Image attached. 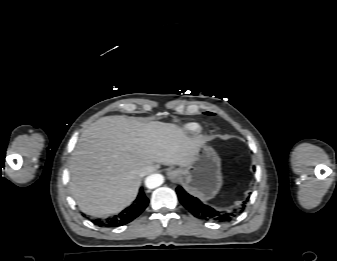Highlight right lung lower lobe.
<instances>
[{"mask_svg": "<svg viewBox=\"0 0 337 261\" xmlns=\"http://www.w3.org/2000/svg\"><path fill=\"white\" fill-rule=\"evenodd\" d=\"M148 198L145 196L143 189L141 188L138 194L137 199L125 210H123L118 215H115L111 218H107L105 220L101 219H93L92 222L99 226L105 227H117L125 225L131 221H133L136 217H138L143 210L148 205Z\"/></svg>", "mask_w": 337, "mask_h": 261, "instance_id": "1", "label": "right lung lower lobe"}]
</instances>
